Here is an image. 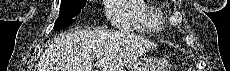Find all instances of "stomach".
<instances>
[{
  "mask_svg": "<svg viewBox=\"0 0 230 71\" xmlns=\"http://www.w3.org/2000/svg\"><path fill=\"white\" fill-rule=\"evenodd\" d=\"M160 67L156 66H150L147 62H138L134 65H128L125 68L122 69V71H164L162 69H165L168 65V62L166 60L159 61Z\"/></svg>",
  "mask_w": 230,
  "mask_h": 71,
  "instance_id": "stomach-1",
  "label": "stomach"
}]
</instances>
